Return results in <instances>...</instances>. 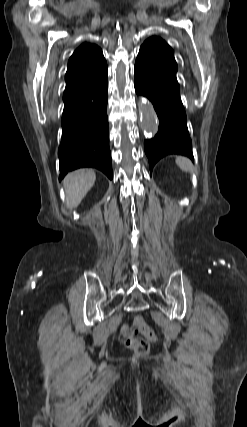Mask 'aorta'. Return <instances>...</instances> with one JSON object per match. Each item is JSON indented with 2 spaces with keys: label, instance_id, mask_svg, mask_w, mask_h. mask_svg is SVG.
<instances>
[{
  "label": "aorta",
  "instance_id": "obj_1",
  "mask_svg": "<svg viewBox=\"0 0 247 427\" xmlns=\"http://www.w3.org/2000/svg\"><path fill=\"white\" fill-rule=\"evenodd\" d=\"M138 111L144 134L148 137L154 136L158 131V119L152 103L146 98H140L138 101Z\"/></svg>",
  "mask_w": 247,
  "mask_h": 427
}]
</instances>
